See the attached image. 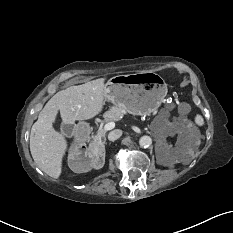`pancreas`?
I'll list each match as a JSON object with an SVG mask.
<instances>
[{"label":"pancreas","mask_w":233,"mask_h":233,"mask_svg":"<svg viewBox=\"0 0 233 233\" xmlns=\"http://www.w3.org/2000/svg\"><path fill=\"white\" fill-rule=\"evenodd\" d=\"M124 112L125 110L123 108L112 107L108 112L104 114V120L105 122L116 121L122 117ZM103 132V130H100L98 134L102 135Z\"/></svg>","instance_id":"pancreas-1"}]
</instances>
